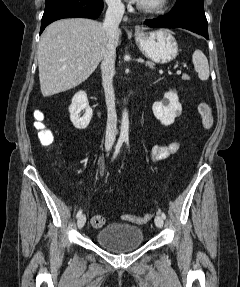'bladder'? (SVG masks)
<instances>
[{"mask_svg":"<svg viewBox=\"0 0 240 287\" xmlns=\"http://www.w3.org/2000/svg\"><path fill=\"white\" fill-rule=\"evenodd\" d=\"M95 241L107 250L115 253H125L142 245L143 230L134 225L111 223L97 232Z\"/></svg>","mask_w":240,"mask_h":287,"instance_id":"31cf9c89","label":"bladder"}]
</instances>
